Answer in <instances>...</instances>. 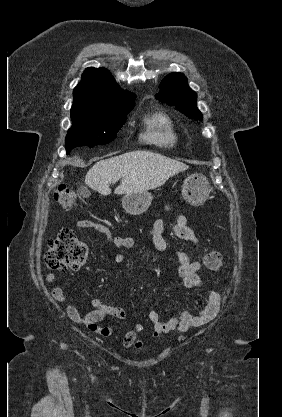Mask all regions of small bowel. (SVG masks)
Listing matches in <instances>:
<instances>
[{"instance_id":"c3829d8e","label":"small bowel","mask_w":282,"mask_h":417,"mask_svg":"<svg viewBox=\"0 0 282 417\" xmlns=\"http://www.w3.org/2000/svg\"><path fill=\"white\" fill-rule=\"evenodd\" d=\"M167 210H172L170 205L166 206ZM165 220L158 218L149 229V236L155 249L163 254L170 256L171 261L177 266L178 273L182 281L183 288L188 291L194 288H200L203 282L198 275L202 268L204 261L201 259L194 260L193 256L199 249L200 242L193 229L188 225V218L184 214H176L173 223L174 234L185 241L191 242L194 246L192 251H185L182 249H172L164 237ZM77 229H92L108 237V242L115 250H130L136 245V240L131 236H115L109 233V229L100 223L88 219L78 220L75 223ZM125 256L121 252L114 255L116 262H123ZM57 276L54 273H49L46 276V282L51 285V296L57 302L63 303L66 306V311L69 318L75 323L82 324L89 330L98 333L103 337H109L113 334L111 326H99V322L106 316H113L117 319L123 320L126 317L124 309L116 306H110L103 302L100 296L92 300L93 309L81 313L78 308L67 299L64 290L55 285ZM221 294L217 291H212L209 295V300L205 309L195 315L188 311L177 309L175 317L170 319H162L157 310H150L148 318L152 324L153 336L155 338L168 335L170 333H182L192 327H200L206 325L217 315L221 306ZM144 329L142 324H135L130 331H128L123 340L122 345L127 349L139 350L142 348L143 341L138 337Z\"/></svg>"}]
</instances>
